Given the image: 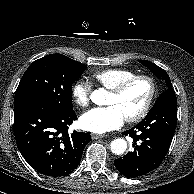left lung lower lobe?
Masks as SVG:
<instances>
[{
    "label": "left lung lower lobe",
    "mask_w": 194,
    "mask_h": 194,
    "mask_svg": "<svg viewBox=\"0 0 194 194\" xmlns=\"http://www.w3.org/2000/svg\"><path fill=\"white\" fill-rule=\"evenodd\" d=\"M176 125V99L154 105L140 123L122 132L133 138L134 151L114 161L117 170L127 178H136L156 169L168 152Z\"/></svg>",
    "instance_id": "obj_1"
}]
</instances>
